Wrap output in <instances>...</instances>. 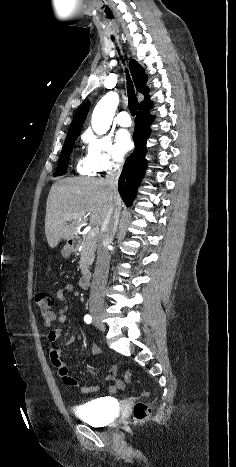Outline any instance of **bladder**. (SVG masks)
<instances>
[{
  "mask_svg": "<svg viewBox=\"0 0 236 467\" xmlns=\"http://www.w3.org/2000/svg\"><path fill=\"white\" fill-rule=\"evenodd\" d=\"M112 402L110 398L93 399L78 406L76 413L91 425L106 426L109 424L108 414L114 410Z\"/></svg>",
  "mask_w": 236,
  "mask_h": 467,
  "instance_id": "bladder-1",
  "label": "bladder"
}]
</instances>
